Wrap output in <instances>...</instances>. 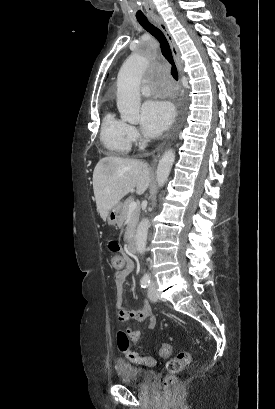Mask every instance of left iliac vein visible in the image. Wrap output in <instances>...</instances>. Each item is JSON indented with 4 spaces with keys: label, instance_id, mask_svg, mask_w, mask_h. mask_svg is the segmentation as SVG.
<instances>
[{
    "label": "left iliac vein",
    "instance_id": "obj_1",
    "mask_svg": "<svg viewBox=\"0 0 275 409\" xmlns=\"http://www.w3.org/2000/svg\"><path fill=\"white\" fill-rule=\"evenodd\" d=\"M148 298L153 302H155L158 299V293L156 291V284L154 282L151 283L148 289Z\"/></svg>",
    "mask_w": 275,
    "mask_h": 409
}]
</instances>
